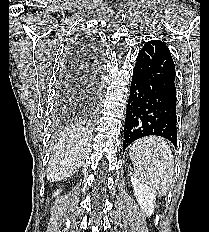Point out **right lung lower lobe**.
<instances>
[{
    "label": "right lung lower lobe",
    "instance_id": "right-lung-lower-lobe-1",
    "mask_svg": "<svg viewBox=\"0 0 209 232\" xmlns=\"http://www.w3.org/2000/svg\"><path fill=\"white\" fill-rule=\"evenodd\" d=\"M70 57L71 61L80 62L81 65H83V63H85L86 65L95 64V66L99 68L100 56L98 48L96 46L86 47L84 45H79V47L74 52H72V55H70Z\"/></svg>",
    "mask_w": 209,
    "mask_h": 232
}]
</instances>
